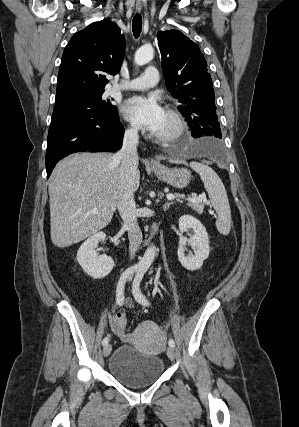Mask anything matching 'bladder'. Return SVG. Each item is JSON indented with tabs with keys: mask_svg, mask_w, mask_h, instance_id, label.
<instances>
[{
	"mask_svg": "<svg viewBox=\"0 0 299 427\" xmlns=\"http://www.w3.org/2000/svg\"><path fill=\"white\" fill-rule=\"evenodd\" d=\"M109 372L120 384L141 388L155 383L164 372L162 358L145 354L131 345L122 344L113 353Z\"/></svg>",
	"mask_w": 299,
	"mask_h": 427,
	"instance_id": "1",
	"label": "bladder"
}]
</instances>
